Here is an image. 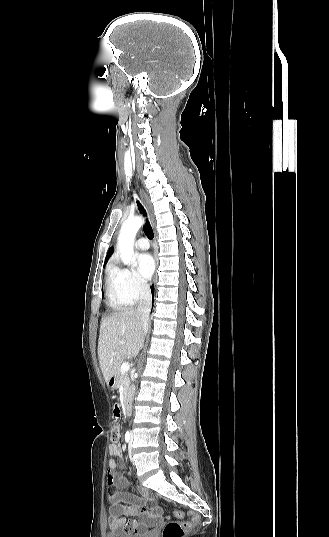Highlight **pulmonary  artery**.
Returning a JSON list of instances; mask_svg holds the SVG:
<instances>
[{
  "label": "pulmonary artery",
  "mask_w": 329,
  "mask_h": 537,
  "mask_svg": "<svg viewBox=\"0 0 329 537\" xmlns=\"http://www.w3.org/2000/svg\"><path fill=\"white\" fill-rule=\"evenodd\" d=\"M135 247L139 250H147L149 248V242L146 238H140L136 241Z\"/></svg>",
  "instance_id": "1"
}]
</instances>
